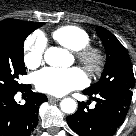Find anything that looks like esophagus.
Listing matches in <instances>:
<instances>
[{"instance_id": "esophagus-1", "label": "esophagus", "mask_w": 136, "mask_h": 136, "mask_svg": "<svg viewBox=\"0 0 136 136\" xmlns=\"http://www.w3.org/2000/svg\"><path fill=\"white\" fill-rule=\"evenodd\" d=\"M48 100H49V101H60L61 99H60V98L53 97V96H48Z\"/></svg>"}]
</instances>
